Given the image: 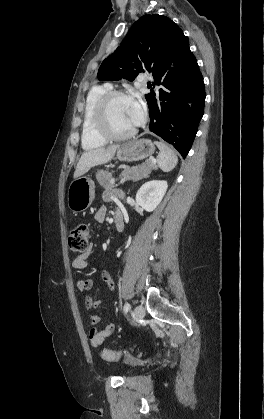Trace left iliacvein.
<instances>
[{
  "instance_id": "obj_1",
  "label": "left iliac vein",
  "mask_w": 264,
  "mask_h": 419,
  "mask_svg": "<svg viewBox=\"0 0 264 419\" xmlns=\"http://www.w3.org/2000/svg\"><path fill=\"white\" fill-rule=\"evenodd\" d=\"M133 315H134V319L136 321H140L141 319H143L144 316H145V310H144L143 306L142 305L136 306L134 308Z\"/></svg>"
}]
</instances>
